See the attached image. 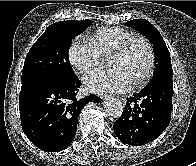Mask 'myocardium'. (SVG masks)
Instances as JSON below:
<instances>
[{"label":"myocardium","instance_id":"f54148a6","mask_svg":"<svg viewBox=\"0 0 196 166\" xmlns=\"http://www.w3.org/2000/svg\"><path fill=\"white\" fill-rule=\"evenodd\" d=\"M136 42H142L146 46L149 53V63L145 72L134 82L135 86H140L151 78L154 72V67L156 62L155 50L153 48V45L149 41V39L142 35H134L129 39H127L123 43V45L120 48H118L112 55L119 56V57L127 55L130 52L132 46Z\"/></svg>","mask_w":196,"mask_h":166}]
</instances>
